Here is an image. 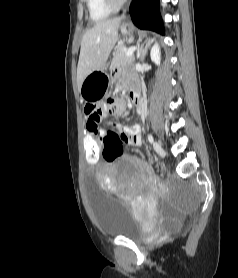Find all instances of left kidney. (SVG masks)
Instances as JSON below:
<instances>
[{"label": "left kidney", "instance_id": "5707ae66", "mask_svg": "<svg viewBox=\"0 0 238 278\" xmlns=\"http://www.w3.org/2000/svg\"><path fill=\"white\" fill-rule=\"evenodd\" d=\"M150 56H151V60L154 63L156 64L160 63V49L157 43H155L154 46L152 47Z\"/></svg>", "mask_w": 238, "mask_h": 278}]
</instances>
